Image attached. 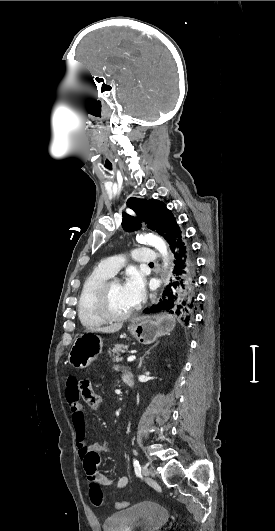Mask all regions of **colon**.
<instances>
[{"label": "colon", "instance_id": "1", "mask_svg": "<svg viewBox=\"0 0 275 531\" xmlns=\"http://www.w3.org/2000/svg\"><path fill=\"white\" fill-rule=\"evenodd\" d=\"M97 384L95 381H91L88 378H85V381H80L79 383V390L81 393V400L82 402H87L88 405L91 408H98L101 404V397L96 391ZM91 495L92 500L95 502L94 506L97 509L102 508L103 503L101 500V490L100 486L97 483L92 484L91 486ZM113 506L119 510H125L128 507V503L125 501H117L113 504Z\"/></svg>", "mask_w": 275, "mask_h": 531}]
</instances>
